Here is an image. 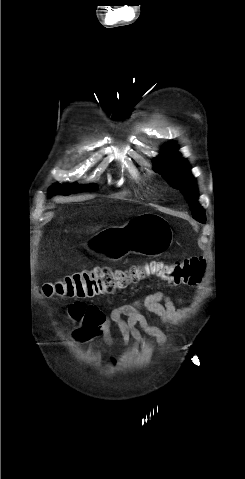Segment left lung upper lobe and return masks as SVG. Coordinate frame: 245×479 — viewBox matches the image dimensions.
I'll return each mask as SVG.
<instances>
[{"label": "left lung upper lobe", "mask_w": 245, "mask_h": 479, "mask_svg": "<svg viewBox=\"0 0 245 479\" xmlns=\"http://www.w3.org/2000/svg\"><path fill=\"white\" fill-rule=\"evenodd\" d=\"M154 171L164 176L184 194L195 220L205 223L204 211L197 202V185L185 159L177 153L175 145H166L161 155L155 159Z\"/></svg>", "instance_id": "left-lung-upper-lobe-1"}]
</instances>
